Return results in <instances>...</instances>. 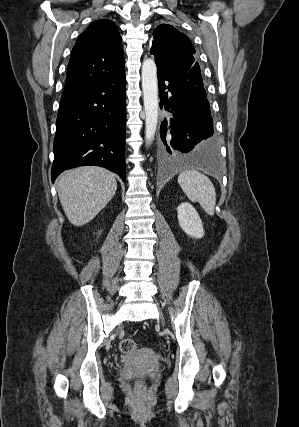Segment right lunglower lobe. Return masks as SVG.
Instances as JSON below:
<instances>
[{
  "label": "right lung lower lobe",
  "instance_id": "1",
  "mask_svg": "<svg viewBox=\"0 0 299 427\" xmlns=\"http://www.w3.org/2000/svg\"><path fill=\"white\" fill-rule=\"evenodd\" d=\"M125 70L100 83L64 92L54 139L52 182L66 169L96 165L125 181Z\"/></svg>",
  "mask_w": 299,
  "mask_h": 427
}]
</instances>
